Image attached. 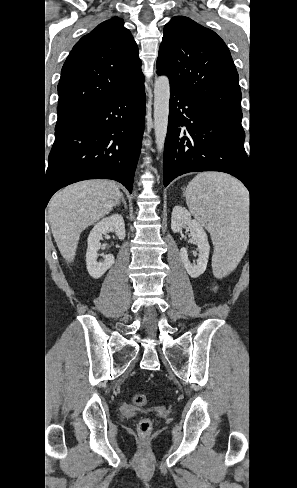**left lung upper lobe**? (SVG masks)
I'll list each match as a JSON object with an SVG mask.
<instances>
[{"label": "left lung upper lobe", "instance_id": "left-lung-upper-lobe-1", "mask_svg": "<svg viewBox=\"0 0 297 488\" xmlns=\"http://www.w3.org/2000/svg\"><path fill=\"white\" fill-rule=\"evenodd\" d=\"M157 73L167 75L171 89L196 104L241 124L238 73L224 41L212 30L185 16L164 27Z\"/></svg>", "mask_w": 297, "mask_h": 488}]
</instances>
